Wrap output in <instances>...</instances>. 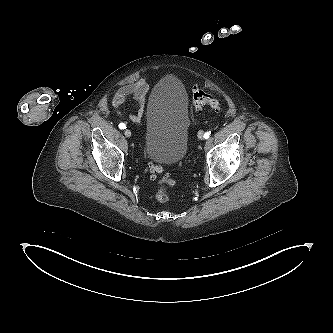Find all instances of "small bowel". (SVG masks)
Instances as JSON below:
<instances>
[{
	"mask_svg": "<svg viewBox=\"0 0 333 333\" xmlns=\"http://www.w3.org/2000/svg\"><path fill=\"white\" fill-rule=\"evenodd\" d=\"M148 93V84L145 79H140L132 84L120 88L112 98V106L121 117H128L135 123H140L144 115V106ZM129 100L137 103L136 112L127 114L122 106Z\"/></svg>",
	"mask_w": 333,
	"mask_h": 333,
	"instance_id": "c3829d8e",
	"label": "small bowel"
}]
</instances>
